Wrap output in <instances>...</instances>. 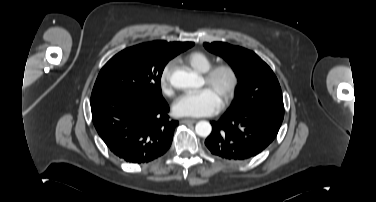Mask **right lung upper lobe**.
Returning <instances> with one entry per match:
<instances>
[{
    "label": "right lung upper lobe",
    "instance_id": "1",
    "mask_svg": "<svg viewBox=\"0 0 376 202\" xmlns=\"http://www.w3.org/2000/svg\"><path fill=\"white\" fill-rule=\"evenodd\" d=\"M187 42H170L167 43L165 41H153L150 43H143L140 44L142 46H145L146 49L148 50V53L152 55L153 57H156L162 53H165L166 51L172 49V48H177L180 47L181 45L185 44Z\"/></svg>",
    "mask_w": 376,
    "mask_h": 202
}]
</instances>
